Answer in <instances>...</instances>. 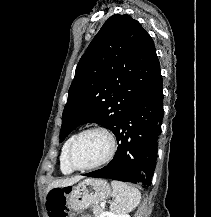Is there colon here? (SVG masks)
Returning <instances> with one entry per match:
<instances>
[{
	"instance_id": "colon-1",
	"label": "colon",
	"mask_w": 211,
	"mask_h": 217,
	"mask_svg": "<svg viewBox=\"0 0 211 217\" xmlns=\"http://www.w3.org/2000/svg\"><path fill=\"white\" fill-rule=\"evenodd\" d=\"M49 217H67L66 197L62 189H52L47 197Z\"/></svg>"
}]
</instances>
